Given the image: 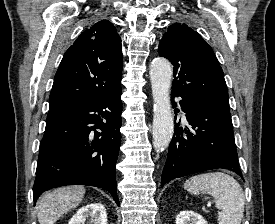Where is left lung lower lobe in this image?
Here are the masks:
<instances>
[{
    "mask_svg": "<svg viewBox=\"0 0 275 224\" xmlns=\"http://www.w3.org/2000/svg\"><path fill=\"white\" fill-rule=\"evenodd\" d=\"M175 96L182 98L180 105L189 127L183 135V128L175 123L161 186L175 178L217 168L242 176L230 111L172 92V98Z\"/></svg>",
    "mask_w": 275,
    "mask_h": 224,
    "instance_id": "0a47b994",
    "label": "left lung lower lobe"
}]
</instances>
